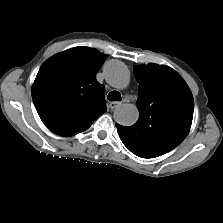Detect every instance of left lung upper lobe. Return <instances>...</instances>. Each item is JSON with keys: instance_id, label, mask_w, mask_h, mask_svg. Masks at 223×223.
Returning a JSON list of instances; mask_svg holds the SVG:
<instances>
[{"instance_id": "obj_1", "label": "left lung upper lobe", "mask_w": 223, "mask_h": 223, "mask_svg": "<svg viewBox=\"0 0 223 223\" xmlns=\"http://www.w3.org/2000/svg\"><path fill=\"white\" fill-rule=\"evenodd\" d=\"M139 83L138 121L129 127L116 124L123 144L132 152L152 157L178 146L188 135L194 110L193 96L180 75L168 66H134Z\"/></svg>"}]
</instances>
